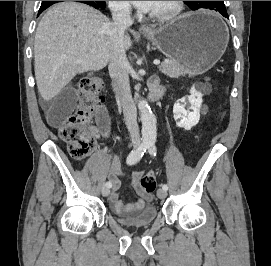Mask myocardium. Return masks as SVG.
<instances>
[{
  "mask_svg": "<svg viewBox=\"0 0 271 266\" xmlns=\"http://www.w3.org/2000/svg\"><path fill=\"white\" fill-rule=\"evenodd\" d=\"M183 10V1H170L168 9L163 12H151L150 18L160 22L176 18Z\"/></svg>",
  "mask_w": 271,
  "mask_h": 266,
  "instance_id": "1",
  "label": "myocardium"
}]
</instances>
